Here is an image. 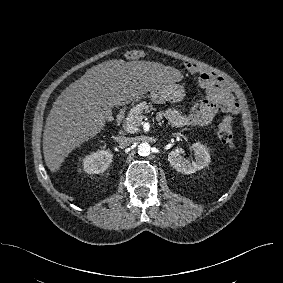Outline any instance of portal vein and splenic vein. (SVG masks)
Here are the masks:
<instances>
[{
  "instance_id": "1",
  "label": "portal vein and splenic vein",
  "mask_w": 283,
  "mask_h": 283,
  "mask_svg": "<svg viewBox=\"0 0 283 283\" xmlns=\"http://www.w3.org/2000/svg\"><path fill=\"white\" fill-rule=\"evenodd\" d=\"M144 116H140V120H143Z\"/></svg>"
}]
</instances>
